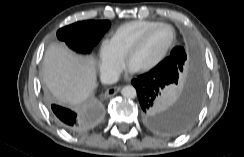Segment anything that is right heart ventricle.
I'll return each instance as SVG.
<instances>
[{"mask_svg":"<svg viewBox=\"0 0 244 157\" xmlns=\"http://www.w3.org/2000/svg\"><path fill=\"white\" fill-rule=\"evenodd\" d=\"M160 23L154 20H134L118 26L111 35L110 42L115 50L122 56L129 47L148 28Z\"/></svg>","mask_w":244,"mask_h":157,"instance_id":"obj_1","label":"right heart ventricle"}]
</instances>
